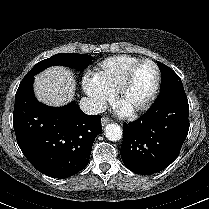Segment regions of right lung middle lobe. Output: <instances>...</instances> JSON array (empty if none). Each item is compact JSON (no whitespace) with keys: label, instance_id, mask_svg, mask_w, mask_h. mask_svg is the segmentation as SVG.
Wrapping results in <instances>:
<instances>
[{"label":"right lung middle lobe","instance_id":"1","mask_svg":"<svg viewBox=\"0 0 209 209\" xmlns=\"http://www.w3.org/2000/svg\"><path fill=\"white\" fill-rule=\"evenodd\" d=\"M91 56L87 54H77V53H60L55 54L52 57L38 62L34 67L25 75L22 82L28 78L34 77L45 68L52 65H64L77 70H83L86 68L91 60Z\"/></svg>","mask_w":209,"mask_h":209}]
</instances>
